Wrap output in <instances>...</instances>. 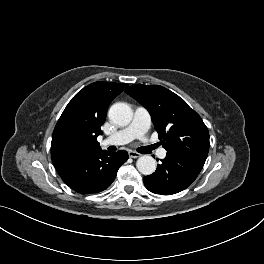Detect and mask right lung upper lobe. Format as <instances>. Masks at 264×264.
I'll return each instance as SVG.
<instances>
[{"instance_id": "right-lung-upper-lobe-1", "label": "right lung upper lobe", "mask_w": 264, "mask_h": 264, "mask_svg": "<svg viewBox=\"0 0 264 264\" xmlns=\"http://www.w3.org/2000/svg\"><path fill=\"white\" fill-rule=\"evenodd\" d=\"M127 84L94 82L68 103L52 135L51 158L57 171L101 151L97 136L111 101Z\"/></svg>"}]
</instances>
